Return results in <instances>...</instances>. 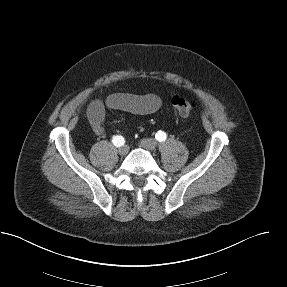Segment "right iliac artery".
Returning a JSON list of instances; mask_svg holds the SVG:
<instances>
[{
  "label": "right iliac artery",
  "mask_w": 287,
  "mask_h": 287,
  "mask_svg": "<svg viewBox=\"0 0 287 287\" xmlns=\"http://www.w3.org/2000/svg\"><path fill=\"white\" fill-rule=\"evenodd\" d=\"M112 142L115 146L120 147L124 145L125 140L121 135H116V136H113Z\"/></svg>",
  "instance_id": "right-iliac-artery-1"
}]
</instances>
